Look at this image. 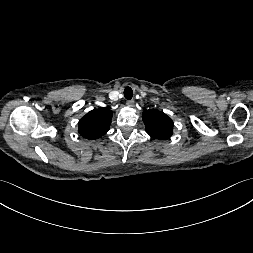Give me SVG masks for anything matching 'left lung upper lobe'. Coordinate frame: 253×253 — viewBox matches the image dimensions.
I'll return each mask as SVG.
<instances>
[{"instance_id":"5c2ea615","label":"left lung upper lobe","mask_w":253,"mask_h":253,"mask_svg":"<svg viewBox=\"0 0 253 253\" xmlns=\"http://www.w3.org/2000/svg\"><path fill=\"white\" fill-rule=\"evenodd\" d=\"M146 132L153 138L164 140L173 134V121L163 112L158 110H146L143 112Z\"/></svg>"}]
</instances>
